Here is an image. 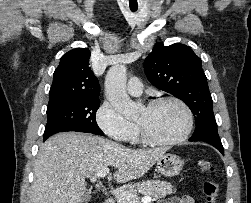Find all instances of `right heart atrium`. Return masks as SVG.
<instances>
[{
	"label": "right heart atrium",
	"instance_id": "right-heart-atrium-1",
	"mask_svg": "<svg viewBox=\"0 0 251 203\" xmlns=\"http://www.w3.org/2000/svg\"><path fill=\"white\" fill-rule=\"evenodd\" d=\"M96 122L110 139L117 142L130 140L136 128L133 123L116 111L108 101H104L99 106L96 112Z\"/></svg>",
	"mask_w": 251,
	"mask_h": 203
}]
</instances>
